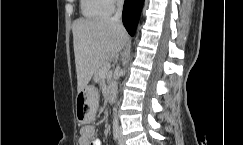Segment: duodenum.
I'll use <instances>...</instances> for the list:
<instances>
[{
    "mask_svg": "<svg viewBox=\"0 0 243 145\" xmlns=\"http://www.w3.org/2000/svg\"><path fill=\"white\" fill-rule=\"evenodd\" d=\"M116 89L114 85H110L108 87L107 98L109 102H113L115 100Z\"/></svg>",
    "mask_w": 243,
    "mask_h": 145,
    "instance_id": "410a0bca",
    "label": "duodenum"
}]
</instances>
